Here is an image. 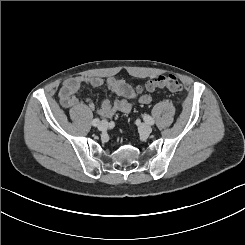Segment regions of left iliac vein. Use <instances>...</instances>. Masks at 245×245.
<instances>
[{"instance_id": "obj_1", "label": "left iliac vein", "mask_w": 245, "mask_h": 245, "mask_svg": "<svg viewBox=\"0 0 245 245\" xmlns=\"http://www.w3.org/2000/svg\"><path fill=\"white\" fill-rule=\"evenodd\" d=\"M139 131H140L141 133L145 134V135H148V134L151 133L152 130H151V127H150L148 124L142 123V124H140V126H139Z\"/></svg>"}]
</instances>
